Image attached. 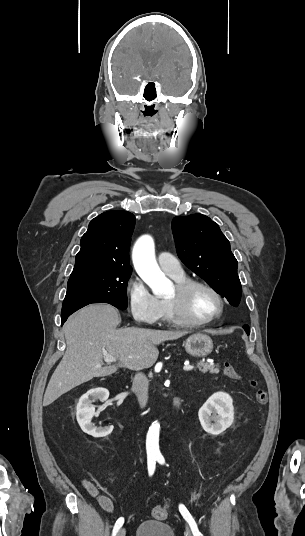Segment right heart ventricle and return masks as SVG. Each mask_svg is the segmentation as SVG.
Returning a JSON list of instances; mask_svg holds the SVG:
<instances>
[{
	"instance_id": "1",
	"label": "right heart ventricle",
	"mask_w": 305,
	"mask_h": 536,
	"mask_svg": "<svg viewBox=\"0 0 305 536\" xmlns=\"http://www.w3.org/2000/svg\"><path fill=\"white\" fill-rule=\"evenodd\" d=\"M170 277L177 283L188 280V277L185 274L181 277H173V276H170ZM162 304H163V312L161 315L162 320L168 325L178 326L180 323L177 321L174 314L172 313L167 301L166 300L162 301Z\"/></svg>"
}]
</instances>
